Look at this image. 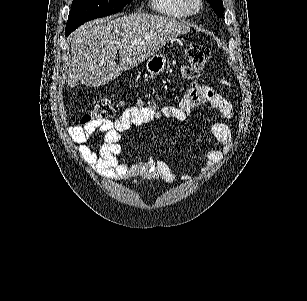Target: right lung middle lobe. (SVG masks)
I'll list each match as a JSON object with an SVG mask.
<instances>
[{
  "label": "right lung middle lobe",
  "instance_id": "1",
  "mask_svg": "<svg viewBox=\"0 0 307 301\" xmlns=\"http://www.w3.org/2000/svg\"><path fill=\"white\" fill-rule=\"evenodd\" d=\"M132 0H73L65 36L88 20L121 11Z\"/></svg>",
  "mask_w": 307,
  "mask_h": 301
}]
</instances>
